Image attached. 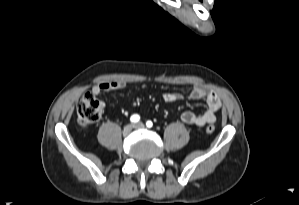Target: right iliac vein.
Masks as SVG:
<instances>
[{"instance_id":"right-iliac-vein-1","label":"right iliac vein","mask_w":299,"mask_h":205,"mask_svg":"<svg viewBox=\"0 0 299 205\" xmlns=\"http://www.w3.org/2000/svg\"><path fill=\"white\" fill-rule=\"evenodd\" d=\"M132 129H133V125H131V124L125 126V128L123 130V136L127 137L131 133Z\"/></svg>"}]
</instances>
